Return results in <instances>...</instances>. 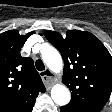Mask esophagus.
<instances>
[{
	"instance_id": "obj_1",
	"label": "esophagus",
	"mask_w": 112,
	"mask_h": 112,
	"mask_svg": "<svg viewBox=\"0 0 112 112\" xmlns=\"http://www.w3.org/2000/svg\"><path fill=\"white\" fill-rule=\"evenodd\" d=\"M47 74V75H46ZM41 79L43 81V83L47 86V87H51V85L55 82V76L53 75L52 71H50L49 69L42 71L41 72Z\"/></svg>"
}]
</instances>
